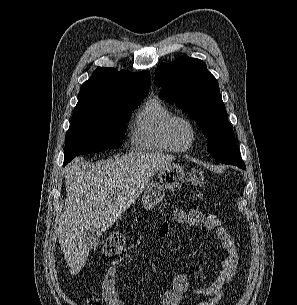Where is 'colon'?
Segmentation results:
<instances>
[{
  "label": "colon",
  "mask_w": 297,
  "mask_h": 305,
  "mask_svg": "<svg viewBox=\"0 0 297 305\" xmlns=\"http://www.w3.org/2000/svg\"><path fill=\"white\" fill-rule=\"evenodd\" d=\"M189 182L194 187H202L205 184L204 172L200 168H194L189 173ZM126 235L122 230L112 231L102 249V258L106 265H116L124 262L126 254Z\"/></svg>",
  "instance_id": "1"
}]
</instances>
